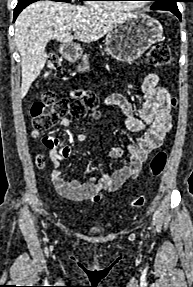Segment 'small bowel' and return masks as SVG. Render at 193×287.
<instances>
[{
    "instance_id": "obj_1",
    "label": "small bowel",
    "mask_w": 193,
    "mask_h": 287,
    "mask_svg": "<svg viewBox=\"0 0 193 287\" xmlns=\"http://www.w3.org/2000/svg\"><path fill=\"white\" fill-rule=\"evenodd\" d=\"M158 75L147 74L141 85L142 104L138 110L120 93L111 94L105 101L109 108L117 107L127 115L126 126L138 134L137 142L125 147H113L110 149L112 158H125L128 164L114 172H103L91 176L86 181L66 180L60 169L61 162L71 156V147L61 148L58 136H44V148H51L50 160L54 167L51 173V183L60 195L74 201H98L103 192H112L121 187L127 180L138 176L143 163L148 155L159 148L166 134L172 127L170 114L169 95L165 88L158 86ZM60 124L71 127V121L63 117ZM32 138L41 137V131L32 129ZM79 141H87L88 137L78 133Z\"/></svg>"
}]
</instances>
